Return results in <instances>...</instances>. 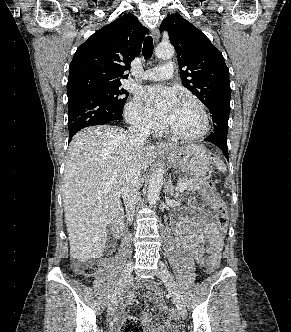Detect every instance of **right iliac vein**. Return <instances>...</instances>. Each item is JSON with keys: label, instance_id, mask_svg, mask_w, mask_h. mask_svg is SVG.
Returning <instances> with one entry per match:
<instances>
[{"label": "right iliac vein", "instance_id": "1", "mask_svg": "<svg viewBox=\"0 0 291 332\" xmlns=\"http://www.w3.org/2000/svg\"><path fill=\"white\" fill-rule=\"evenodd\" d=\"M132 271H133V261H129L125 265V267L121 273V276L119 278L118 284L115 289V292H114L111 302L108 306V315H112L114 313L116 305L119 301L120 296L122 295V293L124 291V288L131 276Z\"/></svg>", "mask_w": 291, "mask_h": 332}]
</instances>
